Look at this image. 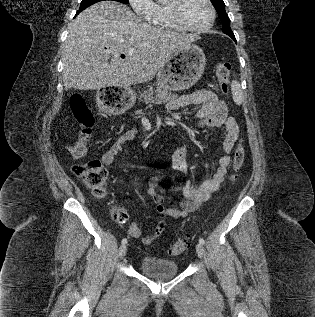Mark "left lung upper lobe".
<instances>
[{
  "mask_svg": "<svg viewBox=\"0 0 315 317\" xmlns=\"http://www.w3.org/2000/svg\"><path fill=\"white\" fill-rule=\"evenodd\" d=\"M215 7L220 20L222 21V32L227 34L228 36H234L231 28H230V19L225 12V4L223 0H210Z\"/></svg>",
  "mask_w": 315,
  "mask_h": 317,
  "instance_id": "obj_1",
  "label": "left lung upper lobe"
}]
</instances>
